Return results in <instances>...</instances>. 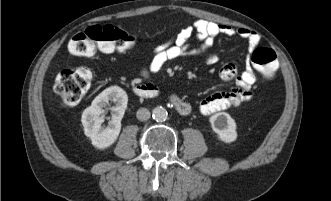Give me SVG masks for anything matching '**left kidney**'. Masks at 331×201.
Segmentation results:
<instances>
[{
    "mask_svg": "<svg viewBox=\"0 0 331 201\" xmlns=\"http://www.w3.org/2000/svg\"><path fill=\"white\" fill-rule=\"evenodd\" d=\"M209 121L212 130L218 135L221 141L231 143L236 140V123L228 113H216L210 117Z\"/></svg>",
    "mask_w": 331,
    "mask_h": 201,
    "instance_id": "left-kidney-1",
    "label": "left kidney"
}]
</instances>
